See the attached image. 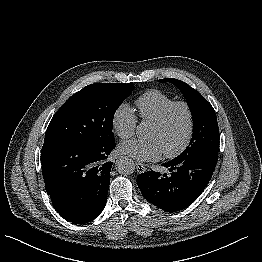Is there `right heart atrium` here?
<instances>
[{
	"mask_svg": "<svg viewBox=\"0 0 262 262\" xmlns=\"http://www.w3.org/2000/svg\"><path fill=\"white\" fill-rule=\"evenodd\" d=\"M113 132L121 139L131 137L136 130L137 117L134 110L128 104L119 105L111 118Z\"/></svg>",
	"mask_w": 262,
	"mask_h": 262,
	"instance_id": "obj_1",
	"label": "right heart atrium"
}]
</instances>
